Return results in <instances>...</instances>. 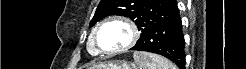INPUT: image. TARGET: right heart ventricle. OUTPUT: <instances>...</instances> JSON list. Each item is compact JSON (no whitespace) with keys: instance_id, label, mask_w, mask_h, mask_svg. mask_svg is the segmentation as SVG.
I'll return each instance as SVG.
<instances>
[{"instance_id":"1","label":"right heart ventricle","mask_w":246,"mask_h":69,"mask_svg":"<svg viewBox=\"0 0 246 69\" xmlns=\"http://www.w3.org/2000/svg\"><path fill=\"white\" fill-rule=\"evenodd\" d=\"M88 50L92 53H96L95 43L92 35L90 36L88 41Z\"/></svg>"}]
</instances>
